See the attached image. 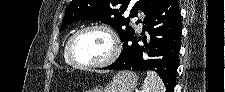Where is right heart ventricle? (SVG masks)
<instances>
[{"mask_svg":"<svg viewBox=\"0 0 225 92\" xmlns=\"http://www.w3.org/2000/svg\"><path fill=\"white\" fill-rule=\"evenodd\" d=\"M70 37L67 39L66 43H65V46H64V52H63V56H64V60L65 62L68 64V65H72L69 58H68V55H67V44H68V41H69Z\"/></svg>","mask_w":225,"mask_h":92,"instance_id":"right-heart-ventricle-1","label":"right heart ventricle"}]
</instances>
